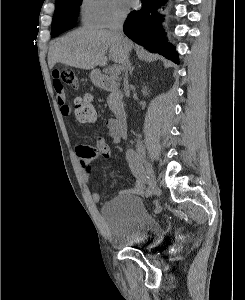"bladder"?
Instances as JSON below:
<instances>
[{
	"instance_id": "31cf9c89",
	"label": "bladder",
	"mask_w": 245,
	"mask_h": 300,
	"mask_svg": "<svg viewBox=\"0 0 245 300\" xmlns=\"http://www.w3.org/2000/svg\"><path fill=\"white\" fill-rule=\"evenodd\" d=\"M110 244L116 248L161 243L165 237L162 223L145 207L140 197L122 193L101 207Z\"/></svg>"
}]
</instances>
